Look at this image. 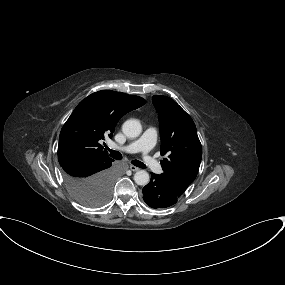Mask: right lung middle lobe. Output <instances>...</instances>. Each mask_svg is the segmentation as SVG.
Returning a JSON list of instances; mask_svg holds the SVG:
<instances>
[{
	"label": "right lung middle lobe",
	"instance_id": "dd1d6c3e",
	"mask_svg": "<svg viewBox=\"0 0 285 285\" xmlns=\"http://www.w3.org/2000/svg\"><path fill=\"white\" fill-rule=\"evenodd\" d=\"M113 183V182H112ZM111 184L94 183H66L71 195L82 205L98 207L105 204L111 194Z\"/></svg>",
	"mask_w": 285,
	"mask_h": 285
}]
</instances>
